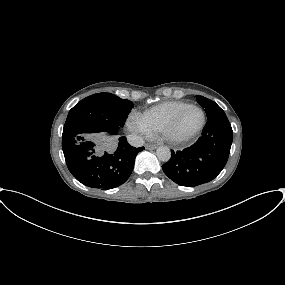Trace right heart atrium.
<instances>
[{"instance_id": "obj_1", "label": "right heart atrium", "mask_w": 285, "mask_h": 285, "mask_svg": "<svg viewBox=\"0 0 285 285\" xmlns=\"http://www.w3.org/2000/svg\"><path fill=\"white\" fill-rule=\"evenodd\" d=\"M128 128L141 135H150L151 132L144 126V124L138 119L137 115H132L127 121Z\"/></svg>"}]
</instances>
